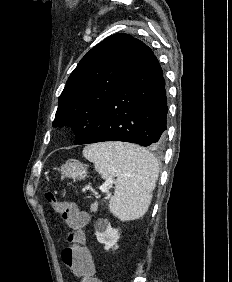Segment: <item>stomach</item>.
<instances>
[{
	"label": "stomach",
	"instance_id": "1",
	"mask_svg": "<svg viewBox=\"0 0 232 282\" xmlns=\"http://www.w3.org/2000/svg\"><path fill=\"white\" fill-rule=\"evenodd\" d=\"M60 171L64 177L72 179H84L87 176V168L78 161H69L61 166Z\"/></svg>",
	"mask_w": 232,
	"mask_h": 282
}]
</instances>
